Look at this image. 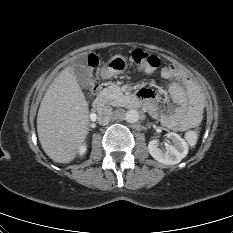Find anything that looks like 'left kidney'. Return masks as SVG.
I'll use <instances>...</instances> for the list:
<instances>
[{
	"label": "left kidney",
	"mask_w": 233,
	"mask_h": 233,
	"mask_svg": "<svg viewBox=\"0 0 233 233\" xmlns=\"http://www.w3.org/2000/svg\"><path fill=\"white\" fill-rule=\"evenodd\" d=\"M167 138L171 140L165 149L161 148L158 140H151L148 144L150 155L158 162L166 165L178 164L188 153V144L177 133L170 132Z\"/></svg>",
	"instance_id": "left-kidney-1"
}]
</instances>
